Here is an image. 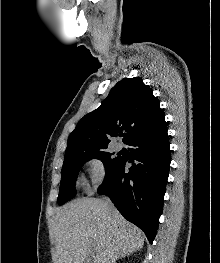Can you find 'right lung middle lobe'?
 Masks as SVG:
<instances>
[{
    "label": "right lung middle lobe",
    "instance_id": "right-lung-middle-lobe-1",
    "mask_svg": "<svg viewBox=\"0 0 220 263\" xmlns=\"http://www.w3.org/2000/svg\"><path fill=\"white\" fill-rule=\"evenodd\" d=\"M111 155L112 153H109L107 148L87 152H70L65 154L61 170L58 204L62 205L76 195L75 181L80 168L85 162L93 158L99 159L104 163L107 173L119 160V157L112 158Z\"/></svg>",
    "mask_w": 220,
    "mask_h": 263
}]
</instances>
